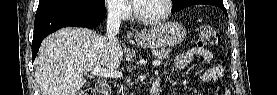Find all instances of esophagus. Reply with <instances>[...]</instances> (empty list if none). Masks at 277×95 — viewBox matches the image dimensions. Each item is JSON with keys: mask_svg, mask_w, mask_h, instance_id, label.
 <instances>
[{"mask_svg": "<svg viewBox=\"0 0 277 95\" xmlns=\"http://www.w3.org/2000/svg\"><path fill=\"white\" fill-rule=\"evenodd\" d=\"M141 35H142V34H141L140 32H136V33H135V37H136V38L141 37Z\"/></svg>", "mask_w": 277, "mask_h": 95, "instance_id": "1", "label": "esophagus"}]
</instances>
